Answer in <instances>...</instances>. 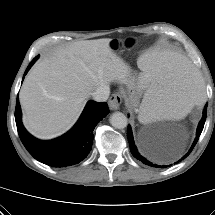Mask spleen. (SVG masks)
<instances>
[{
  "instance_id": "obj_1",
  "label": "spleen",
  "mask_w": 215,
  "mask_h": 215,
  "mask_svg": "<svg viewBox=\"0 0 215 215\" xmlns=\"http://www.w3.org/2000/svg\"><path fill=\"white\" fill-rule=\"evenodd\" d=\"M141 84H150L140 106L145 121L179 118L205 101L204 85L186 57L153 52L138 62Z\"/></svg>"
}]
</instances>
